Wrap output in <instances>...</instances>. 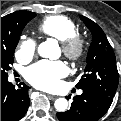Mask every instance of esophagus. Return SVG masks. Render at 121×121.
<instances>
[{
    "label": "esophagus",
    "instance_id": "obj_1",
    "mask_svg": "<svg viewBox=\"0 0 121 121\" xmlns=\"http://www.w3.org/2000/svg\"><path fill=\"white\" fill-rule=\"evenodd\" d=\"M48 97H49L50 99H52V100H54V99L57 98V96H55V95H51V94H48Z\"/></svg>",
    "mask_w": 121,
    "mask_h": 121
}]
</instances>
